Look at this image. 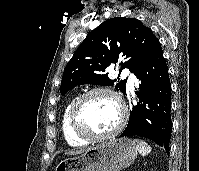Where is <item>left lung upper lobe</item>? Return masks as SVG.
<instances>
[{"instance_id":"obj_1","label":"left lung upper lobe","mask_w":199,"mask_h":171,"mask_svg":"<svg viewBox=\"0 0 199 171\" xmlns=\"http://www.w3.org/2000/svg\"><path fill=\"white\" fill-rule=\"evenodd\" d=\"M159 40L152 30L135 18L116 17L101 23L80 44L64 69L60 93L81 84L112 86L105 69L120 63L121 69L135 73L150 55ZM115 89L126 94V80L118 81Z\"/></svg>"}]
</instances>
